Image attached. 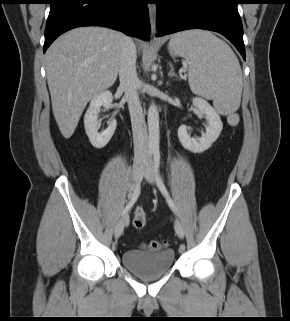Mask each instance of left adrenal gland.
I'll list each match as a JSON object with an SVG mask.
<instances>
[{
    "label": "left adrenal gland",
    "mask_w": 290,
    "mask_h": 321,
    "mask_svg": "<svg viewBox=\"0 0 290 321\" xmlns=\"http://www.w3.org/2000/svg\"><path fill=\"white\" fill-rule=\"evenodd\" d=\"M169 67H170V71H169V73H168V76H169L170 78H172V77H176V78H177V75H176L175 72H174L173 64H172V63H169ZM167 84H168V83H167Z\"/></svg>",
    "instance_id": "1"
}]
</instances>
